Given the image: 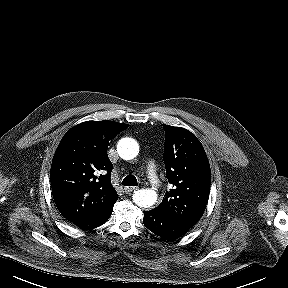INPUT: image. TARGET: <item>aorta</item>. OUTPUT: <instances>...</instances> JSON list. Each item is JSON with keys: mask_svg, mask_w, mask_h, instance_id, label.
<instances>
[{"mask_svg": "<svg viewBox=\"0 0 288 288\" xmlns=\"http://www.w3.org/2000/svg\"><path fill=\"white\" fill-rule=\"evenodd\" d=\"M119 156L124 160H131L139 153V145L132 138H122L117 145ZM133 202L141 208H149L157 201V193L152 189H141L133 194Z\"/></svg>", "mask_w": 288, "mask_h": 288, "instance_id": "aorta-1", "label": "aorta"}]
</instances>
